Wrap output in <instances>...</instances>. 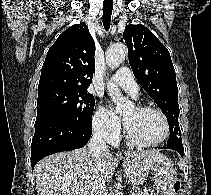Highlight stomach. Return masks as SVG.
Masks as SVG:
<instances>
[{
	"instance_id": "obj_1",
	"label": "stomach",
	"mask_w": 211,
	"mask_h": 195,
	"mask_svg": "<svg viewBox=\"0 0 211 195\" xmlns=\"http://www.w3.org/2000/svg\"><path fill=\"white\" fill-rule=\"evenodd\" d=\"M151 172L158 186H167L177 180L176 172L168 158L158 157L149 161L146 168L132 169L129 172V180L135 184H142Z\"/></svg>"
}]
</instances>
